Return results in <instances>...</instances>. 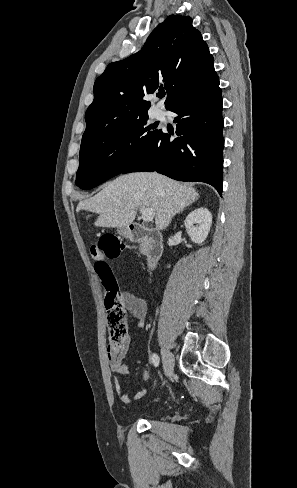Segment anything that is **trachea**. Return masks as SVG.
<instances>
[{
	"mask_svg": "<svg viewBox=\"0 0 297 488\" xmlns=\"http://www.w3.org/2000/svg\"><path fill=\"white\" fill-rule=\"evenodd\" d=\"M164 96H165V92H161V93H159V94H158V97H159V98H162V97H164Z\"/></svg>",
	"mask_w": 297,
	"mask_h": 488,
	"instance_id": "trachea-1",
	"label": "trachea"
}]
</instances>
